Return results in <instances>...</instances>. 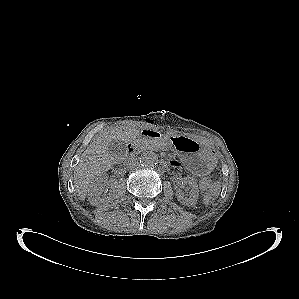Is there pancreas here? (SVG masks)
Masks as SVG:
<instances>
[{"mask_svg": "<svg viewBox=\"0 0 299 299\" xmlns=\"http://www.w3.org/2000/svg\"><path fill=\"white\" fill-rule=\"evenodd\" d=\"M138 145L142 147V149H158L159 144L155 141L146 139V138H140L138 140Z\"/></svg>", "mask_w": 299, "mask_h": 299, "instance_id": "obj_1", "label": "pancreas"}]
</instances>
